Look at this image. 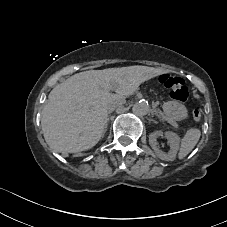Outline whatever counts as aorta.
Segmentation results:
<instances>
[{"mask_svg": "<svg viewBox=\"0 0 227 227\" xmlns=\"http://www.w3.org/2000/svg\"><path fill=\"white\" fill-rule=\"evenodd\" d=\"M132 112L139 117L145 116L149 112V106L145 101L136 102L132 106Z\"/></svg>", "mask_w": 227, "mask_h": 227, "instance_id": "obj_1", "label": "aorta"}]
</instances>
